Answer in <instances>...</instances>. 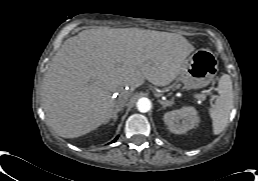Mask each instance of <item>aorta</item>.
Instances as JSON below:
<instances>
[{"mask_svg": "<svg viewBox=\"0 0 258 181\" xmlns=\"http://www.w3.org/2000/svg\"><path fill=\"white\" fill-rule=\"evenodd\" d=\"M137 109L142 112V113H146L150 110L151 108V102L148 98H140L138 101H137Z\"/></svg>", "mask_w": 258, "mask_h": 181, "instance_id": "aorta-1", "label": "aorta"}]
</instances>
